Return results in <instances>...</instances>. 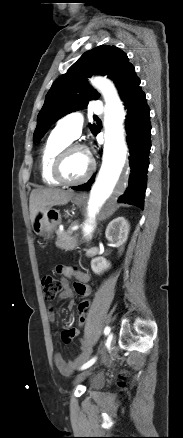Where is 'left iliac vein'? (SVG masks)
I'll return each instance as SVG.
<instances>
[{"label": "left iliac vein", "mask_w": 183, "mask_h": 438, "mask_svg": "<svg viewBox=\"0 0 183 438\" xmlns=\"http://www.w3.org/2000/svg\"><path fill=\"white\" fill-rule=\"evenodd\" d=\"M114 344H115V340L113 339V340L111 341V346H114ZM107 357H108V355H105V356L103 357L102 361H104ZM91 370H92V369H90V370H88V371H85V372H82L81 374H79V375L77 376V379H76V380L79 381V380L83 379L85 376H87V375L90 373Z\"/></svg>", "instance_id": "1"}]
</instances>
